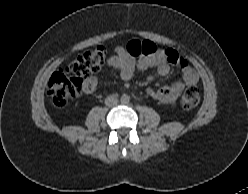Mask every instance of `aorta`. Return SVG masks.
<instances>
[{
    "label": "aorta",
    "mask_w": 248,
    "mask_h": 194,
    "mask_svg": "<svg viewBox=\"0 0 248 194\" xmlns=\"http://www.w3.org/2000/svg\"><path fill=\"white\" fill-rule=\"evenodd\" d=\"M122 104H128L130 102V96L123 94L120 98Z\"/></svg>",
    "instance_id": "1"
}]
</instances>
